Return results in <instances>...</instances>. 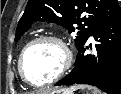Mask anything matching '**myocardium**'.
Instances as JSON below:
<instances>
[{"label":"myocardium","mask_w":121,"mask_h":94,"mask_svg":"<svg viewBox=\"0 0 121 94\" xmlns=\"http://www.w3.org/2000/svg\"><path fill=\"white\" fill-rule=\"evenodd\" d=\"M41 42H52V43L56 44L61 51L62 62H61V65H60L58 71L51 79H49L48 81L42 82V83H33L28 79V77L25 74L23 62H24V58H25L27 52L29 51V49ZM71 65H72V52H71L70 48L67 46V44L61 38L54 36V35H41V36H38V37L34 38L33 40L29 41L23 47V49L19 55L18 62H17V68H18V72H19L21 78L23 79V81L25 83H27L28 85L33 86V87H45V86H49V85L59 81L67 73V71L69 70Z\"/></svg>","instance_id":"f54148a6"}]
</instances>
